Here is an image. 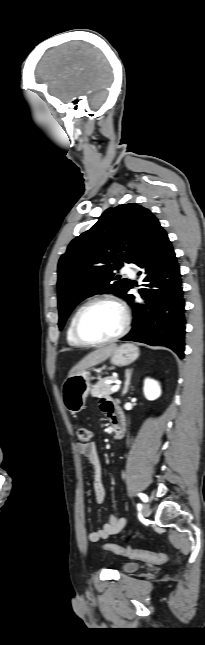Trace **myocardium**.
<instances>
[{"instance_id": "obj_1", "label": "myocardium", "mask_w": 205, "mask_h": 645, "mask_svg": "<svg viewBox=\"0 0 205 645\" xmlns=\"http://www.w3.org/2000/svg\"><path fill=\"white\" fill-rule=\"evenodd\" d=\"M101 303H109L114 306H116L121 314H122V326L120 330L114 334L111 337H108L106 339L102 340H89L83 336V334L80 331V320L82 317V314L84 313L85 310H87L89 307L96 305V304H101ZM130 314L129 311L126 307V305L119 300L118 298L112 296V295H103V296H98L95 298H92L85 302L79 309L76 311L74 319H73V334L75 338L85 346H101L105 345L114 341H117L118 339L122 338L129 330L130 327Z\"/></svg>"}]
</instances>
